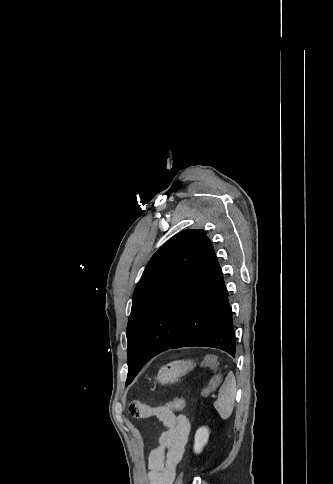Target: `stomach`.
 <instances>
[{
  "instance_id": "obj_1",
  "label": "stomach",
  "mask_w": 333,
  "mask_h": 484,
  "mask_svg": "<svg viewBox=\"0 0 333 484\" xmlns=\"http://www.w3.org/2000/svg\"><path fill=\"white\" fill-rule=\"evenodd\" d=\"M195 364L189 360H176L162 366L157 375L161 384L174 383L194 368Z\"/></svg>"
}]
</instances>
